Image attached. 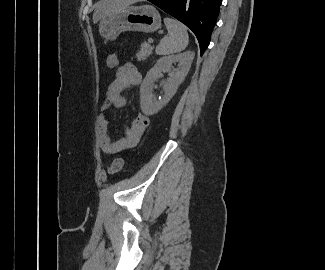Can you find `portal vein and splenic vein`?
Segmentation results:
<instances>
[{
	"mask_svg": "<svg viewBox=\"0 0 325 270\" xmlns=\"http://www.w3.org/2000/svg\"><path fill=\"white\" fill-rule=\"evenodd\" d=\"M149 42H153V40H152V39H150V40H149Z\"/></svg>",
	"mask_w": 325,
	"mask_h": 270,
	"instance_id": "1",
	"label": "portal vein and splenic vein"
}]
</instances>
